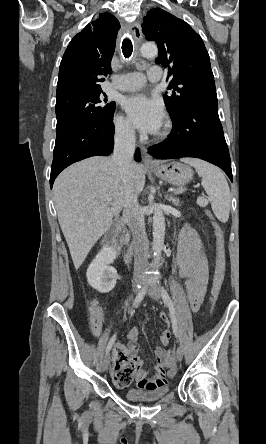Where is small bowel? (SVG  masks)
Instances as JSON below:
<instances>
[{
	"label": "small bowel",
	"instance_id": "1",
	"mask_svg": "<svg viewBox=\"0 0 266 444\" xmlns=\"http://www.w3.org/2000/svg\"><path fill=\"white\" fill-rule=\"evenodd\" d=\"M176 267L181 277L185 278V287L189 304L193 311L201 306L208 284V265L203 255L201 241L198 234L191 228L185 227L180 232L177 240ZM90 328L94 336L101 335L104 322V309L98 298L90 305ZM163 323L168 324V318L164 312L160 314ZM139 331L133 328L128 333V344H118L113 351V366L111 377L118 389H127L133 380L141 389H154L167 384L166 371L170 370L165 346L171 339V331L165 329L160 336V346L155 349L157 364L155 374L147 377L143 368V361L137 355L139 350Z\"/></svg>",
	"mask_w": 266,
	"mask_h": 444
}]
</instances>
